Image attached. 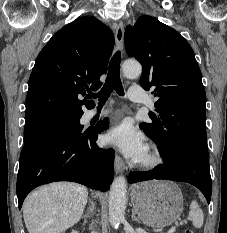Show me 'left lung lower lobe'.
<instances>
[{"instance_id": "obj_1", "label": "left lung lower lobe", "mask_w": 227, "mask_h": 233, "mask_svg": "<svg viewBox=\"0 0 227 233\" xmlns=\"http://www.w3.org/2000/svg\"><path fill=\"white\" fill-rule=\"evenodd\" d=\"M163 179L187 182L196 186L210 203L212 180L208 156L187 147H181L163 157V165L150 172H131L129 183Z\"/></svg>"}]
</instances>
